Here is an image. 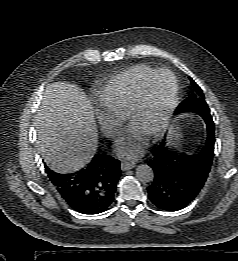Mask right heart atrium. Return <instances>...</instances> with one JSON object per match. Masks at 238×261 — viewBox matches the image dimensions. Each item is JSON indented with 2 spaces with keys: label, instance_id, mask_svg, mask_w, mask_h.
<instances>
[{
  "label": "right heart atrium",
  "instance_id": "obj_1",
  "mask_svg": "<svg viewBox=\"0 0 238 261\" xmlns=\"http://www.w3.org/2000/svg\"><path fill=\"white\" fill-rule=\"evenodd\" d=\"M96 119L100 130L107 137H113L125 121V117L111 113L100 107L96 110Z\"/></svg>",
  "mask_w": 238,
  "mask_h": 261
}]
</instances>
